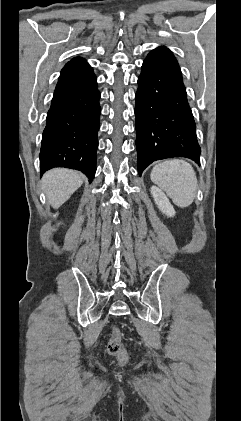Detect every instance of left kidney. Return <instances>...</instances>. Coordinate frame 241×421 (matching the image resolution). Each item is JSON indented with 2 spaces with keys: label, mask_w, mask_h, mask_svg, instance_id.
I'll return each mask as SVG.
<instances>
[{
  "label": "left kidney",
  "mask_w": 241,
  "mask_h": 421,
  "mask_svg": "<svg viewBox=\"0 0 241 421\" xmlns=\"http://www.w3.org/2000/svg\"><path fill=\"white\" fill-rule=\"evenodd\" d=\"M150 192L159 210L166 216L173 217L175 210L164 192L156 186H152Z\"/></svg>",
  "instance_id": "5707ae66"
}]
</instances>
